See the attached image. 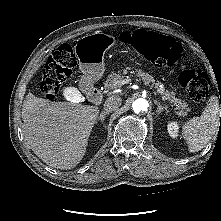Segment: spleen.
I'll return each instance as SVG.
<instances>
[{
	"label": "spleen",
	"instance_id": "obj_1",
	"mask_svg": "<svg viewBox=\"0 0 221 221\" xmlns=\"http://www.w3.org/2000/svg\"><path fill=\"white\" fill-rule=\"evenodd\" d=\"M221 110L217 96H212L200 117H194L183 126L184 138L190 152L203 149L219 127Z\"/></svg>",
	"mask_w": 221,
	"mask_h": 221
}]
</instances>
